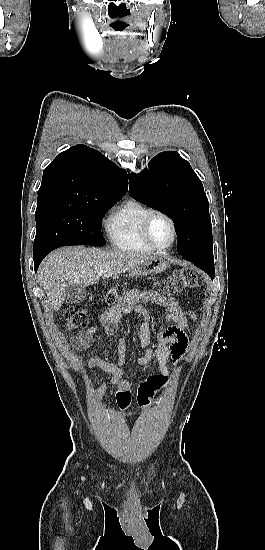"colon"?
Listing matches in <instances>:
<instances>
[{
    "label": "colon",
    "instance_id": "obj_1",
    "mask_svg": "<svg viewBox=\"0 0 265 550\" xmlns=\"http://www.w3.org/2000/svg\"><path fill=\"white\" fill-rule=\"evenodd\" d=\"M201 280L189 269L176 270L171 276L162 279L159 282V290L165 294L173 295L182 293L199 287ZM127 293L123 284H116L108 289L104 295L106 303H115ZM65 327L69 331L79 330L87 326L89 317L87 312L81 307L72 305L64 311ZM167 384L161 375H155L142 382L136 391L137 405L148 410L151 407V401L157 391Z\"/></svg>",
    "mask_w": 265,
    "mask_h": 550
}]
</instances>
